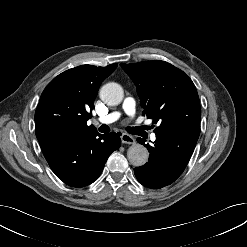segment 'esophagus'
Returning a JSON list of instances; mask_svg holds the SVG:
<instances>
[{"instance_id":"1","label":"esophagus","mask_w":247,"mask_h":247,"mask_svg":"<svg viewBox=\"0 0 247 247\" xmlns=\"http://www.w3.org/2000/svg\"><path fill=\"white\" fill-rule=\"evenodd\" d=\"M121 141L122 143L124 144H135V139L133 136L129 135V134H126V133H123L121 135Z\"/></svg>"}]
</instances>
